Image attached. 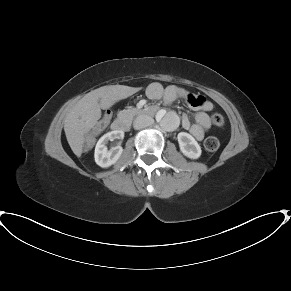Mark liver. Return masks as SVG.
<instances>
[{"label": "liver", "instance_id": "6515ba94", "mask_svg": "<svg viewBox=\"0 0 291 291\" xmlns=\"http://www.w3.org/2000/svg\"><path fill=\"white\" fill-rule=\"evenodd\" d=\"M140 88L124 85H110L95 89L80 99L67 113L64 131L73 153L80 157L83 152L84 135L101 118V109L111 107L115 102L125 99Z\"/></svg>", "mask_w": 291, "mask_h": 291}]
</instances>
